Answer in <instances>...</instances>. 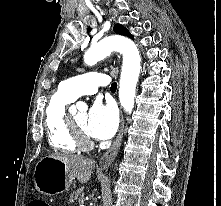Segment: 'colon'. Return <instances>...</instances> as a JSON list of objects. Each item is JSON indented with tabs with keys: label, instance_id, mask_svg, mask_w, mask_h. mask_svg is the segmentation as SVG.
<instances>
[{
	"label": "colon",
	"instance_id": "colon-1",
	"mask_svg": "<svg viewBox=\"0 0 221 206\" xmlns=\"http://www.w3.org/2000/svg\"><path fill=\"white\" fill-rule=\"evenodd\" d=\"M29 206H50V205L43 200H34L30 202Z\"/></svg>",
	"mask_w": 221,
	"mask_h": 206
}]
</instances>
